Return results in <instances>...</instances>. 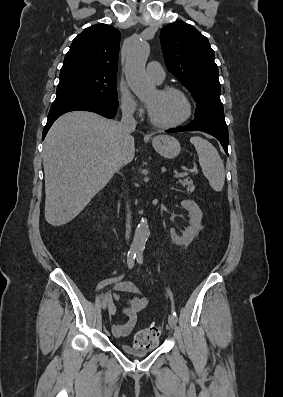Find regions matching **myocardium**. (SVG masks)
Returning a JSON list of instances; mask_svg holds the SVG:
<instances>
[{
  "label": "myocardium",
  "mask_w": 283,
  "mask_h": 397,
  "mask_svg": "<svg viewBox=\"0 0 283 397\" xmlns=\"http://www.w3.org/2000/svg\"><path fill=\"white\" fill-rule=\"evenodd\" d=\"M158 91L161 94L177 93V94L181 95L186 102L187 111H186V114L181 119H179L177 121L169 122V123H162V122L155 120L149 110V113H148L149 120L154 126H156L158 128H163V129L176 128V127L184 124L186 121H188L190 119V117L192 116V113H193V103H192L189 95L183 89L176 87V86L166 85V86L160 87L158 89Z\"/></svg>",
  "instance_id": "1"
}]
</instances>
